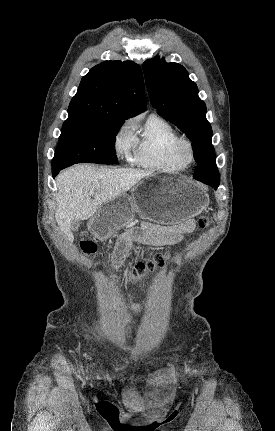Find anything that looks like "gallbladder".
Returning <instances> with one entry per match:
<instances>
[{
    "label": "gallbladder",
    "mask_w": 275,
    "mask_h": 431,
    "mask_svg": "<svg viewBox=\"0 0 275 431\" xmlns=\"http://www.w3.org/2000/svg\"><path fill=\"white\" fill-rule=\"evenodd\" d=\"M80 225H81V220H74L72 225H71L72 231H77L79 229Z\"/></svg>",
    "instance_id": "1"
}]
</instances>
